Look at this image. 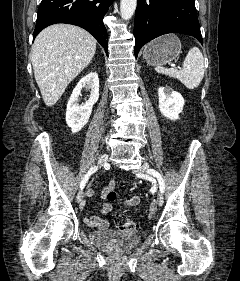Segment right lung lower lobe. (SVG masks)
<instances>
[{"instance_id": "obj_1", "label": "right lung lower lobe", "mask_w": 240, "mask_h": 281, "mask_svg": "<svg viewBox=\"0 0 240 281\" xmlns=\"http://www.w3.org/2000/svg\"><path fill=\"white\" fill-rule=\"evenodd\" d=\"M111 3L112 0H42L33 38L49 25L73 24L91 33L108 53L107 30L103 18Z\"/></svg>"}]
</instances>
